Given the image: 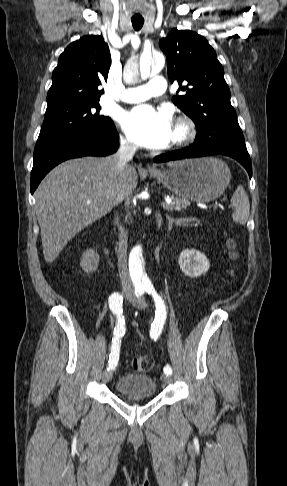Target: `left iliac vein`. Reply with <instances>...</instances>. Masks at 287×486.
Masks as SVG:
<instances>
[{"instance_id": "1", "label": "left iliac vein", "mask_w": 287, "mask_h": 486, "mask_svg": "<svg viewBox=\"0 0 287 486\" xmlns=\"http://www.w3.org/2000/svg\"><path fill=\"white\" fill-rule=\"evenodd\" d=\"M130 302L138 309H145L148 306L143 297L131 296ZM161 380L163 383L168 384L171 382V377L167 374H162Z\"/></svg>"}]
</instances>
